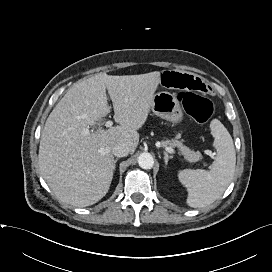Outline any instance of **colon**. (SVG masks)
Instances as JSON below:
<instances>
[{"label":"colon","mask_w":272,"mask_h":272,"mask_svg":"<svg viewBox=\"0 0 272 272\" xmlns=\"http://www.w3.org/2000/svg\"><path fill=\"white\" fill-rule=\"evenodd\" d=\"M178 98L186 113L200 124L207 122L213 114V102L203 95L194 92H181Z\"/></svg>","instance_id":"1"}]
</instances>
